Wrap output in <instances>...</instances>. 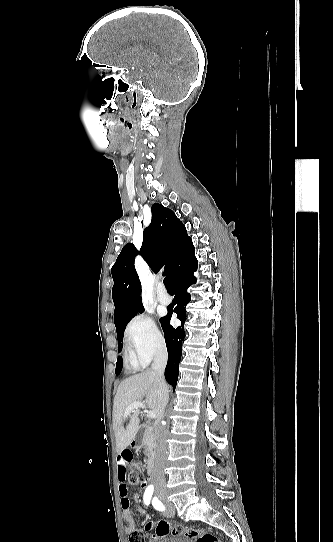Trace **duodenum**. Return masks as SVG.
Returning <instances> with one entry per match:
<instances>
[{
  "label": "duodenum",
  "mask_w": 333,
  "mask_h": 542,
  "mask_svg": "<svg viewBox=\"0 0 333 542\" xmlns=\"http://www.w3.org/2000/svg\"><path fill=\"white\" fill-rule=\"evenodd\" d=\"M148 441V434L145 432L141 436H136L131 440V446L133 448H141L143 447ZM155 468V459L154 457H150L147 462V473L149 475L153 474Z\"/></svg>",
  "instance_id": "410a0bca"
}]
</instances>
